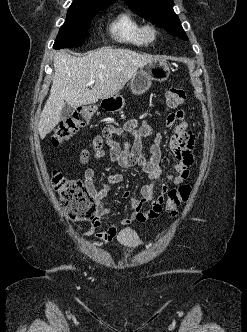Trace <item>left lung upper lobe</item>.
Returning a JSON list of instances; mask_svg holds the SVG:
<instances>
[{"mask_svg": "<svg viewBox=\"0 0 247 332\" xmlns=\"http://www.w3.org/2000/svg\"><path fill=\"white\" fill-rule=\"evenodd\" d=\"M133 12L164 28L170 35L188 40L178 16L173 11V0H125Z\"/></svg>", "mask_w": 247, "mask_h": 332, "instance_id": "1", "label": "left lung upper lobe"}]
</instances>
